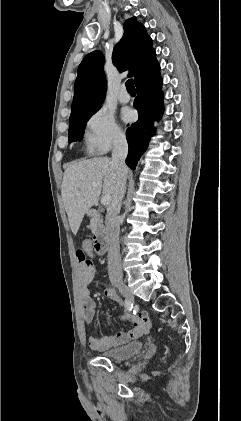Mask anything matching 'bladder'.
Instances as JSON below:
<instances>
[{"label":"bladder","instance_id":"obj_1","mask_svg":"<svg viewBox=\"0 0 241 421\" xmlns=\"http://www.w3.org/2000/svg\"><path fill=\"white\" fill-rule=\"evenodd\" d=\"M144 344L140 341L128 343L123 346L111 348L103 353L101 356L111 361H125L142 352Z\"/></svg>","mask_w":241,"mask_h":421}]
</instances>
